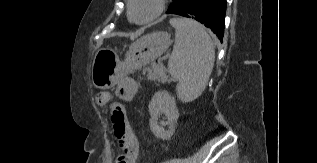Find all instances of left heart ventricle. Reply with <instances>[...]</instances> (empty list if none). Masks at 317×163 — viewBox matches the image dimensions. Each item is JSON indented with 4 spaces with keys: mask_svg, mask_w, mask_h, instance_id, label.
Returning a JSON list of instances; mask_svg holds the SVG:
<instances>
[{
    "mask_svg": "<svg viewBox=\"0 0 317 163\" xmlns=\"http://www.w3.org/2000/svg\"><path fill=\"white\" fill-rule=\"evenodd\" d=\"M156 10V0H134L132 16L136 20L150 17Z\"/></svg>",
    "mask_w": 317,
    "mask_h": 163,
    "instance_id": "left-heart-ventricle-1",
    "label": "left heart ventricle"
}]
</instances>
